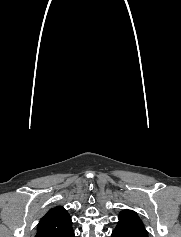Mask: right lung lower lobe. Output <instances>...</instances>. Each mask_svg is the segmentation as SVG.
<instances>
[{
    "instance_id": "1",
    "label": "right lung lower lobe",
    "mask_w": 181,
    "mask_h": 237,
    "mask_svg": "<svg viewBox=\"0 0 181 237\" xmlns=\"http://www.w3.org/2000/svg\"><path fill=\"white\" fill-rule=\"evenodd\" d=\"M69 237H75L74 232H72L71 235H69Z\"/></svg>"
}]
</instances>
